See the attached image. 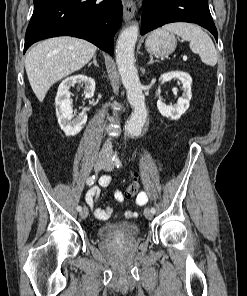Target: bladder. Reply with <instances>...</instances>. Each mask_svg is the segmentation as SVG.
<instances>
[{
	"label": "bladder",
	"mask_w": 247,
	"mask_h": 296,
	"mask_svg": "<svg viewBox=\"0 0 247 296\" xmlns=\"http://www.w3.org/2000/svg\"><path fill=\"white\" fill-rule=\"evenodd\" d=\"M140 233V228L133 222H118L102 225L97 234L105 239H126L135 237Z\"/></svg>",
	"instance_id": "bladder-1"
}]
</instances>
